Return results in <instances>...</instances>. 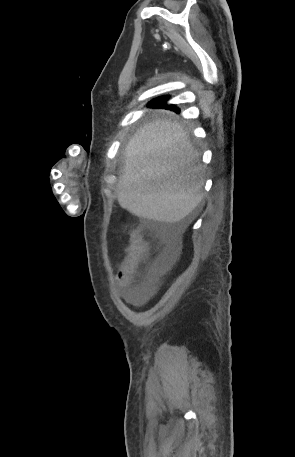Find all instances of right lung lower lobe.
I'll use <instances>...</instances> for the list:
<instances>
[{
  "label": "right lung lower lobe",
  "instance_id": "obj_1",
  "mask_svg": "<svg viewBox=\"0 0 295 457\" xmlns=\"http://www.w3.org/2000/svg\"><path fill=\"white\" fill-rule=\"evenodd\" d=\"M165 101H166V99L161 100L160 98H157V99L153 100L150 104L151 105H162ZM169 108L174 109V106H170Z\"/></svg>",
  "mask_w": 295,
  "mask_h": 457
}]
</instances>
